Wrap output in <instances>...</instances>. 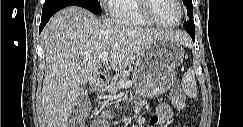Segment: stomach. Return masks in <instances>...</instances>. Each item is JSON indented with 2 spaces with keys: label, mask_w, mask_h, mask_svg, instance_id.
<instances>
[{
  "label": "stomach",
  "mask_w": 243,
  "mask_h": 127,
  "mask_svg": "<svg viewBox=\"0 0 243 127\" xmlns=\"http://www.w3.org/2000/svg\"><path fill=\"white\" fill-rule=\"evenodd\" d=\"M184 60V49L169 39L155 40L136 60L132 79L137 92L152 97L168 90L176 69Z\"/></svg>",
  "instance_id": "0dacf381"
}]
</instances>
